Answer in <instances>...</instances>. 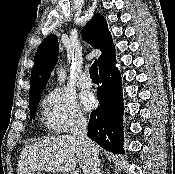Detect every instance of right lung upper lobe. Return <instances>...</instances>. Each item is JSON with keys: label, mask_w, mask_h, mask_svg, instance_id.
<instances>
[{"label": "right lung upper lobe", "mask_w": 175, "mask_h": 174, "mask_svg": "<svg viewBox=\"0 0 175 174\" xmlns=\"http://www.w3.org/2000/svg\"><path fill=\"white\" fill-rule=\"evenodd\" d=\"M83 38L94 48L101 50L102 55L98 59L99 70L115 58L112 37L108 30L107 22L102 15L95 14L86 24L83 31ZM58 52V40L54 35L47 37L39 46L31 72L29 101L40 96L44 90L57 62Z\"/></svg>", "instance_id": "1"}]
</instances>
